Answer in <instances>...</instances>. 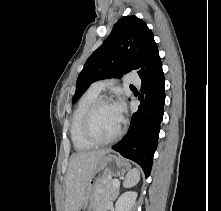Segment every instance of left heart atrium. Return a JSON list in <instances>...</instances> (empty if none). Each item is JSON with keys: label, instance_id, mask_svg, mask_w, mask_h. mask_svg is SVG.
I'll return each instance as SVG.
<instances>
[{"label": "left heart atrium", "instance_id": "left-heart-atrium-1", "mask_svg": "<svg viewBox=\"0 0 221 211\" xmlns=\"http://www.w3.org/2000/svg\"><path fill=\"white\" fill-rule=\"evenodd\" d=\"M114 110L116 111V113L118 114V116L122 119L124 110H125V104L123 102L122 99H118L116 100L113 104H112Z\"/></svg>", "mask_w": 221, "mask_h": 211}]
</instances>
